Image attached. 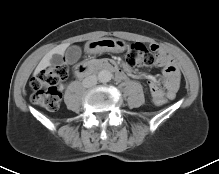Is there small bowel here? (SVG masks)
<instances>
[{
	"label": "small bowel",
	"mask_w": 219,
	"mask_h": 174,
	"mask_svg": "<svg viewBox=\"0 0 219 174\" xmlns=\"http://www.w3.org/2000/svg\"><path fill=\"white\" fill-rule=\"evenodd\" d=\"M154 52L156 53V65L162 67L163 75L165 77V85L167 88L166 96L170 99H174L178 90L179 80H180V72L178 67L173 61L171 55L160 48L157 45L150 46ZM125 78V73L123 71H119L117 73L116 79L123 80ZM155 81V80H150ZM156 82V81H155ZM153 94V93H152Z\"/></svg>",
	"instance_id": "c3829d8e"
}]
</instances>
